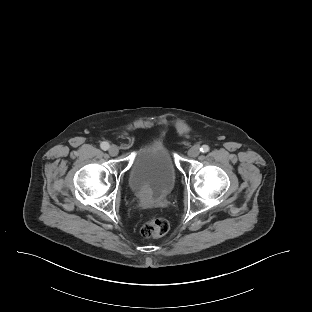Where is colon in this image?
Wrapping results in <instances>:
<instances>
[{"label": "colon", "mask_w": 312, "mask_h": 312, "mask_svg": "<svg viewBox=\"0 0 312 312\" xmlns=\"http://www.w3.org/2000/svg\"><path fill=\"white\" fill-rule=\"evenodd\" d=\"M169 223L166 219L153 217L141 227V235L145 238H157L166 234Z\"/></svg>", "instance_id": "5ec220e1"}]
</instances>
